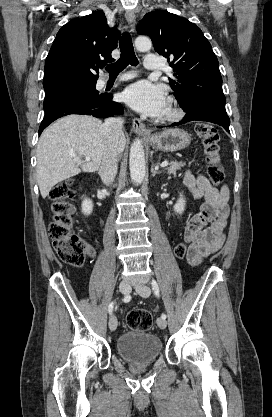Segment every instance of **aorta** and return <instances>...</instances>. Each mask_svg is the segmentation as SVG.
I'll return each instance as SVG.
<instances>
[{
    "mask_svg": "<svg viewBox=\"0 0 272 417\" xmlns=\"http://www.w3.org/2000/svg\"><path fill=\"white\" fill-rule=\"evenodd\" d=\"M135 47L139 51H147L152 47V42L148 37L139 36L135 40ZM130 176L135 184H141L145 177V154L140 139H135L130 148L129 155Z\"/></svg>",
    "mask_w": 272,
    "mask_h": 417,
    "instance_id": "obj_1",
    "label": "aorta"
}]
</instances>
